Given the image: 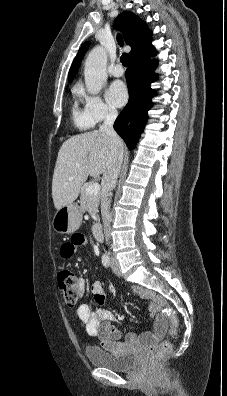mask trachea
I'll list each match as a JSON object with an SVG mask.
<instances>
[{
    "mask_svg": "<svg viewBox=\"0 0 227 396\" xmlns=\"http://www.w3.org/2000/svg\"><path fill=\"white\" fill-rule=\"evenodd\" d=\"M117 40L120 46H122V38L120 35L117 36ZM120 61L123 64V66L127 67L129 64V56L127 53H123L122 56L120 57Z\"/></svg>",
    "mask_w": 227,
    "mask_h": 396,
    "instance_id": "1",
    "label": "trachea"
}]
</instances>
